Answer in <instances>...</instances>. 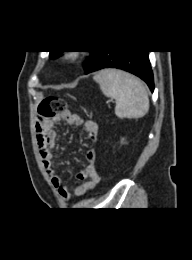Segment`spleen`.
<instances>
[{
	"label": "spleen",
	"instance_id": "3e777b00",
	"mask_svg": "<svg viewBox=\"0 0 192 260\" xmlns=\"http://www.w3.org/2000/svg\"><path fill=\"white\" fill-rule=\"evenodd\" d=\"M102 93L116 100L115 114L123 119H138L149 110L145 84L134 75L116 69H105L94 76Z\"/></svg>",
	"mask_w": 192,
	"mask_h": 260
}]
</instances>
